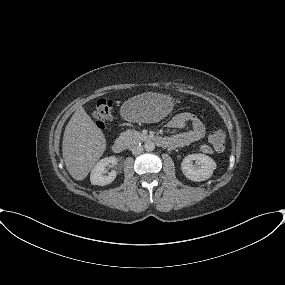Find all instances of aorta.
<instances>
[{
	"label": "aorta",
	"instance_id": "1",
	"mask_svg": "<svg viewBox=\"0 0 285 285\" xmlns=\"http://www.w3.org/2000/svg\"><path fill=\"white\" fill-rule=\"evenodd\" d=\"M144 148L146 151H153L155 149V144L152 141H147L144 144Z\"/></svg>",
	"mask_w": 285,
	"mask_h": 285
}]
</instances>
